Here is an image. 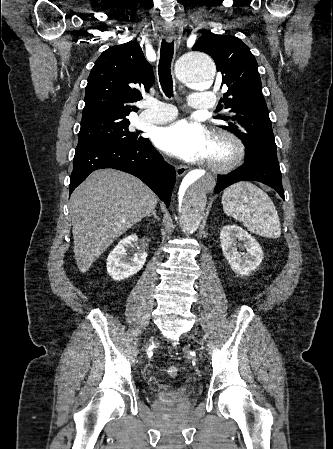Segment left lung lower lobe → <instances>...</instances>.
Wrapping results in <instances>:
<instances>
[{
	"instance_id": "left-lung-lower-lobe-1",
	"label": "left lung lower lobe",
	"mask_w": 333,
	"mask_h": 449,
	"mask_svg": "<svg viewBox=\"0 0 333 449\" xmlns=\"http://www.w3.org/2000/svg\"><path fill=\"white\" fill-rule=\"evenodd\" d=\"M239 181H259L275 189L284 199L279 163L254 161L244 164L227 175H218L215 193Z\"/></svg>"
}]
</instances>
